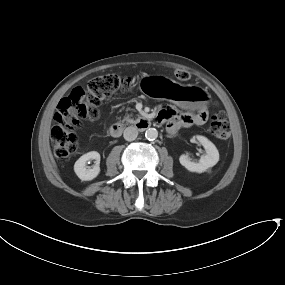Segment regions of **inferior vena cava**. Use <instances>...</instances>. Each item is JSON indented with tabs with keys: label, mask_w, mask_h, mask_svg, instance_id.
<instances>
[{
	"label": "inferior vena cava",
	"mask_w": 285,
	"mask_h": 285,
	"mask_svg": "<svg viewBox=\"0 0 285 285\" xmlns=\"http://www.w3.org/2000/svg\"><path fill=\"white\" fill-rule=\"evenodd\" d=\"M124 138L127 141H133L137 138L138 136V130L134 126H129L124 130Z\"/></svg>",
	"instance_id": "602c4592"
}]
</instances>
